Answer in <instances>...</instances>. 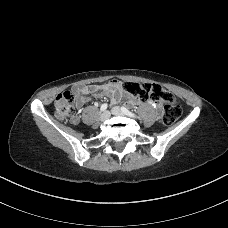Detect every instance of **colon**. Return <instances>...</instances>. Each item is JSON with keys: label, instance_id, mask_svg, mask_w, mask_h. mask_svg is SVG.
<instances>
[{"label": "colon", "instance_id": "obj_1", "mask_svg": "<svg viewBox=\"0 0 228 228\" xmlns=\"http://www.w3.org/2000/svg\"><path fill=\"white\" fill-rule=\"evenodd\" d=\"M123 88L130 95L141 100L151 99L163 103L162 121L166 125L174 123L181 116V106L177 103L173 95L156 84L126 82L123 84ZM74 101V96L70 91L62 92L56 96L54 106L55 116L58 120L67 121L74 117Z\"/></svg>", "mask_w": 228, "mask_h": 228}]
</instances>
